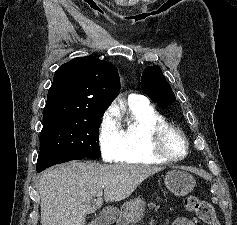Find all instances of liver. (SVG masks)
<instances>
[{
    "label": "liver",
    "mask_w": 237,
    "mask_h": 225,
    "mask_svg": "<svg viewBox=\"0 0 237 225\" xmlns=\"http://www.w3.org/2000/svg\"><path fill=\"white\" fill-rule=\"evenodd\" d=\"M162 168L147 165L65 163L39 179L41 225H85L87 214L103 204L93 197L104 190L106 202L128 198L146 178Z\"/></svg>",
    "instance_id": "1"
}]
</instances>
